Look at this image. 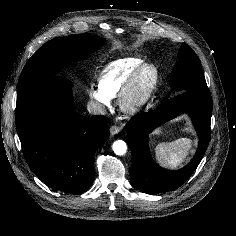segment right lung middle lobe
<instances>
[{
    "label": "right lung middle lobe",
    "instance_id": "dd1d6c3e",
    "mask_svg": "<svg viewBox=\"0 0 236 236\" xmlns=\"http://www.w3.org/2000/svg\"><path fill=\"white\" fill-rule=\"evenodd\" d=\"M104 43V38L90 34L54 38L40 47L28 60L18 85L32 79L53 76L65 61L86 59Z\"/></svg>",
    "mask_w": 236,
    "mask_h": 236
}]
</instances>
